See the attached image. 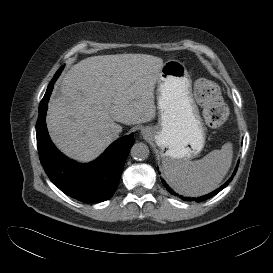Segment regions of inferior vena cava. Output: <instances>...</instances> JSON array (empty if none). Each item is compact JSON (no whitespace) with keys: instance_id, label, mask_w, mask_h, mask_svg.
Listing matches in <instances>:
<instances>
[{"instance_id":"1","label":"inferior vena cava","mask_w":273,"mask_h":273,"mask_svg":"<svg viewBox=\"0 0 273 273\" xmlns=\"http://www.w3.org/2000/svg\"><path fill=\"white\" fill-rule=\"evenodd\" d=\"M118 135H119V133L117 131H113L110 136L114 140L118 137Z\"/></svg>"}]
</instances>
